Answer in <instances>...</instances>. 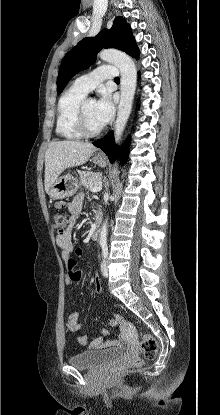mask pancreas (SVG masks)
Here are the masks:
<instances>
[{
    "label": "pancreas",
    "instance_id": "obj_1",
    "mask_svg": "<svg viewBox=\"0 0 220 415\" xmlns=\"http://www.w3.org/2000/svg\"><path fill=\"white\" fill-rule=\"evenodd\" d=\"M79 176L82 185L89 190H91L94 186L100 184L102 181V176L100 173L79 171Z\"/></svg>",
    "mask_w": 220,
    "mask_h": 415
}]
</instances>
